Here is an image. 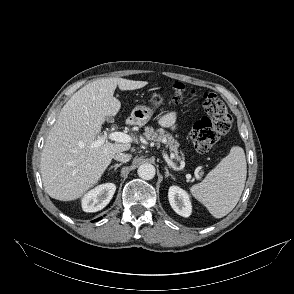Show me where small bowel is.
<instances>
[{
	"mask_svg": "<svg viewBox=\"0 0 294 294\" xmlns=\"http://www.w3.org/2000/svg\"><path fill=\"white\" fill-rule=\"evenodd\" d=\"M176 122L175 113H167L160 119V124L164 127L174 128Z\"/></svg>",
	"mask_w": 294,
	"mask_h": 294,
	"instance_id": "obj_1",
	"label": "small bowel"
}]
</instances>
